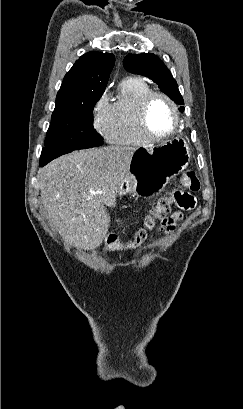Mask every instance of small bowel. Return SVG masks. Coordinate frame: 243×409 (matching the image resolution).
<instances>
[{"label":"small bowel","mask_w":243,"mask_h":409,"mask_svg":"<svg viewBox=\"0 0 243 409\" xmlns=\"http://www.w3.org/2000/svg\"><path fill=\"white\" fill-rule=\"evenodd\" d=\"M191 204L187 207H182V209H191L194 207L195 205V199L192 195L188 194L187 195ZM183 219V215L181 212H174L173 214H171L168 218H166L163 223L162 226L167 230V231H172L175 229V224L179 221H181Z\"/></svg>","instance_id":"small-bowel-1"}]
</instances>
